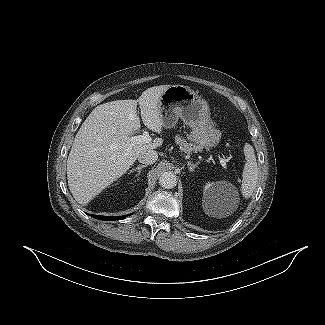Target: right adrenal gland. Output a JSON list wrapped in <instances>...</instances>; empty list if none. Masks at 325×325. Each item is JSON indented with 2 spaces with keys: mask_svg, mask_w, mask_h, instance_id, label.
I'll return each mask as SVG.
<instances>
[{
  "mask_svg": "<svg viewBox=\"0 0 325 325\" xmlns=\"http://www.w3.org/2000/svg\"><path fill=\"white\" fill-rule=\"evenodd\" d=\"M146 167H147V165H138L136 168H133L132 170H130L129 174H131V173L134 172V171H137V175H140L141 170H142L143 168H146ZM137 175H136V176H137Z\"/></svg>",
  "mask_w": 325,
  "mask_h": 325,
  "instance_id": "2a0ac1e0",
  "label": "right adrenal gland"
}]
</instances>
